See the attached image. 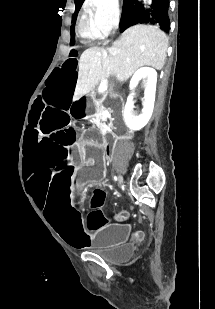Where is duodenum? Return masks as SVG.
<instances>
[{
    "label": "duodenum",
    "mask_w": 215,
    "mask_h": 309,
    "mask_svg": "<svg viewBox=\"0 0 215 309\" xmlns=\"http://www.w3.org/2000/svg\"><path fill=\"white\" fill-rule=\"evenodd\" d=\"M101 127H102V128H105V127H106V125H105L104 122L101 123Z\"/></svg>",
    "instance_id": "410a0bca"
}]
</instances>
